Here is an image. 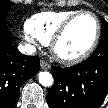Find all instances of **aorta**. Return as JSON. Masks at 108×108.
<instances>
[{"label": "aorta", "instance_id": "obj_1", "mask_svg": "<svg viewBox=\"0 0 108 108\" xmlns=\"http://www.w3.org/2000/svg\"><path fill=\"white\" fill-rule=\"evenodd\" d=\"M53 82H54V79L49 72L45 71V72H40L39 73V83L42 86H45V87L52 86Z\"/></svg>", "mask_w": 108, "mask_h": 108}]
</instances>
